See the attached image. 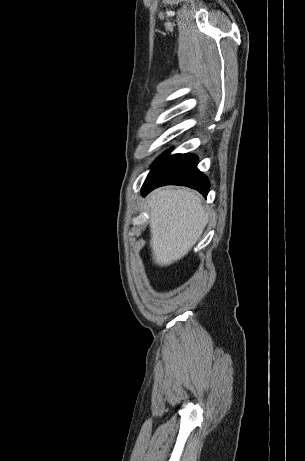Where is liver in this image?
<instances>
[{"mask_svg":"<svg viewBox=\"0 0 305 461\" xmlns=\"http://www.w3.org/2000/svg\"><path fill=\"white\" fill-rule=\"evenodd\" d=\"M152 255L168 266L183 258L200 239L208 222L200 197L187 188H160L147 199Z\"/></svg>","mask_w":305,"mask_h":461,"instance_id":"1","label":"liver"}]
</instances>
